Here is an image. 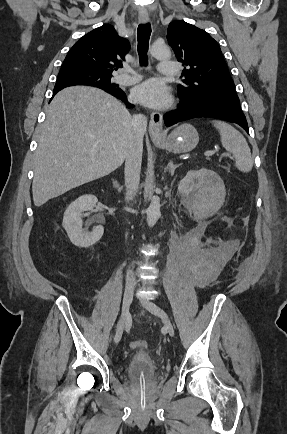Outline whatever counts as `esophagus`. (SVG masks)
<instances>
[{"label":"esophagus","mask_w":287,"mask_h":434,"mask_svg":"<svg viewBox=\"0 0 287 434\" xmlns=\"http://www.w3.org/2000/svg\"><path fill=\"white\" fill-rule=\"evenodd\" d=\"M139 21L143 24L149 21V16L147 12L139 13ZM162 127H163V116L160 112H152L150 115L149 122V134L152 140H160L162 137Z\"/></svg>","instance_id":"34e87169"}]
</instances>
